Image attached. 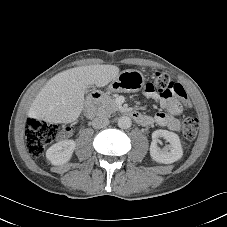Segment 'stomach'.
<instances>
[{"mask_svg": "<svg viewBox=\"0 0 227 227\" xmlns=\"http://www.w3.org/2000/svg\"><path fill=\"white\" fill-rule=\"evenodd\" d=\"M145 85V77L138 70H124L108 86V92H138Z\"/></svg>", "mask_w": 227, "mask_h": 227, "instance_id": "stomach-1", "label": "stomach"}]
</instances>
